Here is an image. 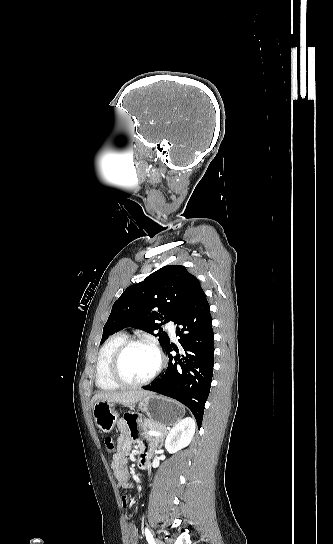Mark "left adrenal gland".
<instances>
[{
	"label": "left adrenal gland",
	"instance_id": "obj_1",
	"mask_svg": "<svg viewBox=\"0 0 333 544\" xmlns=\"http://www.w3.org/2000/svg\"><path fill=\"white\" fill-rule=\"evenodd\" d=\"M167 433H164L162 436L158 437V441L160 443L159 447L161 448L163 446L164 438Z\"/></svg>",
	"mask_w": 333,
	"mask_h": 544
}]
</instances>
